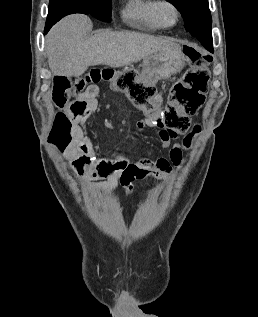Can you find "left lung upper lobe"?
Segmentation results:
<instances>
[{
  "mask_svg": "<svg viewBox=\"0 0 258 317\" xmlns=\"http://www.w3.org/2000/svg\"><path fill=\"white\" fill-rule=\"evenodd\" d=\"M182 14L185 28L192 36L199 32H211L212 18L208 0H167Z\"/></svg>",
  "mask_w": 258,
  "mask_h": 317,
  "instance_id": "left-lung-upper-lobe-1",
  "label": "left lung upper lobe"
}]
</instances>
